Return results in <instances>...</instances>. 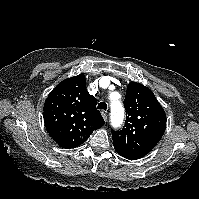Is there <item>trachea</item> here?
<instances>
[{"instance_id":"trachea-1","label":"trachea","mask_w":199,"mask_h":199,"mask_svg":"<svg viewBox=\"0 0 199 199\" xmlns=\"http://www.w3.org/2000/svg\"><path fill=\"white\" fill-rule=\"evenodd\" d=\"M98 109L106 110L107 109V104L105 102H100L98 104Z\"/></svg>"}]
</instances>
